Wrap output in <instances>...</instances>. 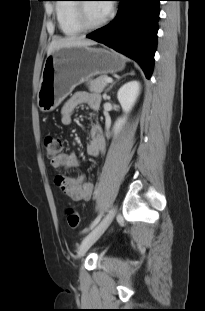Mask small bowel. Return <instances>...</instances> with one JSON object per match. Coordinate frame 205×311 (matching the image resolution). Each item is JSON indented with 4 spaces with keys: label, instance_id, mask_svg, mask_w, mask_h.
<instances>
[{
    "label": "small bowel",
    "instance_id": "small-bowel-1",
    "mask_svg": "<svg viewBox=\"0 0 205 311\" xmlns=\"http://www.w3.org/2000/svg\"><path fill=\"white\" fill-rule=\"evenodd\" d=\"M81 105H88L90 109L96 111L100 107V97L95 93L78 91L66 101L60 113V121L64 125L73 123L76 109ZM89 141L87 143V154L97 157L104 151V138L101 126L92 122L89 125ZM78 163L77 156L73 152L59 153L50 165L55 170L71 169ZM55 185L68 197L75 201L89 200L93 191V184L86 180L84 174L71 176L63 172H58L54 178Z\"/></svg>",
    "mask_w": 205,
    "mask_h": 311
}]
</instances>
